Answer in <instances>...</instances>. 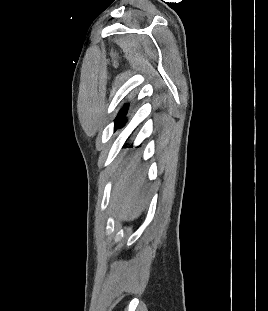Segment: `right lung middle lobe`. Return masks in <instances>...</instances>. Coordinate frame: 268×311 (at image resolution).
I'll return each instance as SVG.
<instances>
[{"mask_svg":"<svg viewBox=\"0 0 268 311\" xmlns=\"http://www.w3.org/2000/svg\"><path fill=\"white\" fill-rule=\"evenodd\" d=\"M128 107L125 105L118 113V116L115 120V125L120 121V119L126 114Z\"/></svg>","mask_w":268,"mask_h":311,"instance_id":"obj_1","label":"right lung middle lobe"}]
</instances>
